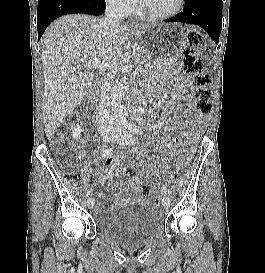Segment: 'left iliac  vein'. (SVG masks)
<instances>
[{
    "instance_id": "left-iliac-vein-1",
    "label": "left iliac vein",
    "mask_w": 265,
    "mask_h": 273,
    "mask_svg": "<svg viewBox=\"0 0 265 273\" xmlns=\"http://www.w3.org/2000/svg\"><path fill=\"white\" fill-rule=\"evenodd\" d=\"M115 142H117L120 145H124V144L132 145L135 143V139L132 137L130 133L123 130L122 136L116 138ZM162 206L164 209H168L170 207V200L167 195H164L162 198Z\"/></svg>"
}]
</instances>
